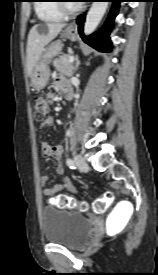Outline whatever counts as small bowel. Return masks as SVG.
I'll use <instances>...</instances> for the list:
<instances>
[{
  "mask_svg": "<svg viewBox=\"0 0 158 275\" xmlns=\"http://www.w3.org/2000/svg\"><path fill=\"white\" fill-rule=\"evenodd\" d=\"M56 86L63 91L65 88H69L70 86L68 82L62 78L58 77L56 79ZM52 98V95H49ZM53 125V120L48 118L43 123L44 128H50ZM41 154L46 158H54L58 161L61 160L63 156V147L61 145L51 146L46 142L41 143ZM56 173L61 176V184L54 185L53 187L44 189L43 193L45 196H54L60 193L62 190H69L71 192H75V188L73 187L72 180L69 176L64 174V166L62 163H58L56 166ZM48 181V177L46 175H41L39 177V182L41 185H45Z\"/></svg>",
  "mask_w": 158,
  "mask_h": 275,
  "instance_id": "small-bowel-1",
  "label": "small bowel"
}]
</instances>
